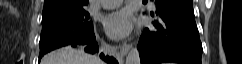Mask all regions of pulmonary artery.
Returning a JSON list of instances; mask_svg holds the SVG:
<instances>
[{
	"label": "pulmonary artery",
	"mask_w": 242,
	"mask_h": 64,
	"mask_svg": "<svg viewBox=\"0 0 242 64\" xmlns=\"http://www.w3.org/2000/svg\"><path fill=\"white\" fill-rule=\"evenodd\" d=\"M102 6L104 8H114L122 3V0H102Z\"/></svg>",
	"instance_id": "1"
}]
</instances>
